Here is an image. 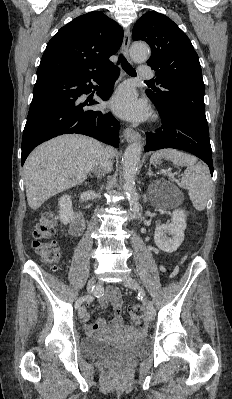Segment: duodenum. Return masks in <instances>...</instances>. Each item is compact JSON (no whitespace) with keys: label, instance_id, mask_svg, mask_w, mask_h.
Masks as SVG:
<instances>
[{"label":"duodenum","instance_id":"duodenum-1","mask_svg":"<svg viewBox=\"0 0 232 399\" xmlns=\"http://www.w3.org/2000/svg\"><path fill=\"white\" fill-rule=\"evenodd\" d=\"M85 226H86V220L83 213L81 212L80 209H76L70 224V233L73 236H78L84 231Z\"/></svg>","mask_w":232,"mask_h":399}]
</instances>
